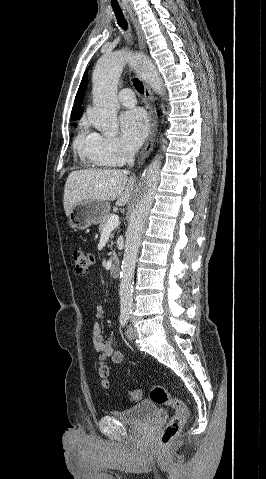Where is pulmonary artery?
Instances as JSON below:
<instances>
[{
	"mask_svg": "<svg viewBox=\"0 0 266 479\" xmlns=\"http://www.w3.org/2000/svg\"><path fill=\"white\" fill-rule=\"evenodd\" d=\"M119 102L126 107H133L136 104L134 91L130 88H124L119 94Z\"/></svg>",
	"mask_w": 266,
	"mask_h": 479,
	"instance_id": "pulmonary-artery-1",
	"label": "pulmonary artery"
}]
</instances>
